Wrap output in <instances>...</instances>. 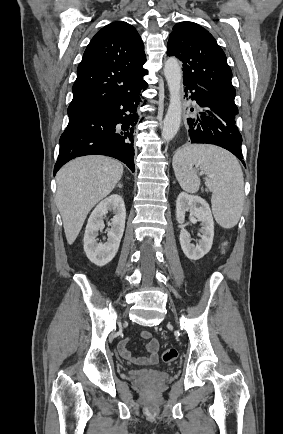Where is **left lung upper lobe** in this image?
Wrapping results in <instances>:
<instances>
[{
	"label": "left lung upper lobe",
	"instance_id": "1",
	"mask_svg": "<svg viewBox=\"0 0 283 434\" xmlns=\"http://www.w3.org/2000/svg\"><path fill=\"white\" fill-rule=\"evenodd\" d=\"M167 54L182 61L184 81L234 102L236 91L226 55L206 29L193 22L177 23L169 35Z\"/></svg>",
	"mask_w": 283,
	"mask_h": 434
}]
</instances>
